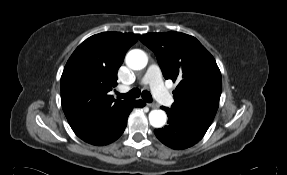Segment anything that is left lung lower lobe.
<instances>
[{"instance_id": "0a47b994", "label": "left lung lower lobe", "mask_w": 287, "mask_h": 175, "mask_svg": "<svg viewBox=\"0 0 287 175\" xmlns=\"http://www.w3.org/2000/svg\"><path fill=\"white\" fill-rule=\"evenodd\" d=\"M161 108L167 112L168 125L161 129H155L154 133L163 144L179 150L191 147L202 139L203 134L187 126L175 115L168 112L166 107Z\"/></svg>"}]
</instances>
